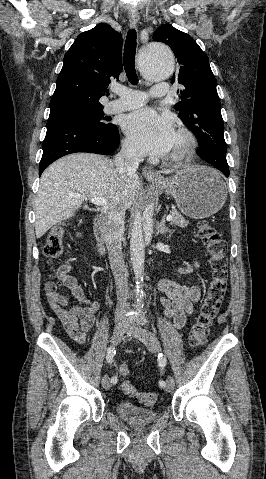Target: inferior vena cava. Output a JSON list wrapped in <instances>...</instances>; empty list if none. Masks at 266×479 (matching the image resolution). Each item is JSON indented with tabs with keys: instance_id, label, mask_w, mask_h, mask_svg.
<instances>
[{
	"instance_id": "602c4592",
	"label": "inferior vena cava",
	"mask_w": 266,
	"mask_h": 479,
	"mask_svg": "<svg viewBox=\"0 0 266 479\" xmlns=\"http://www.w3.org/2000/svg\"><path fill=\"white\" fill-rule=\"evenodd\" d=\"M140 161L141 155L132 144L127 142L122 144L121 151L114 158L116 169L121 175H134ZM105 216L104 238L117 289L116 316L123 318L128 306L127 269L123 259L121 244L124 234L125 209L117 205L109 207L105 210Z\"/></svg>"
}]
</instances>
